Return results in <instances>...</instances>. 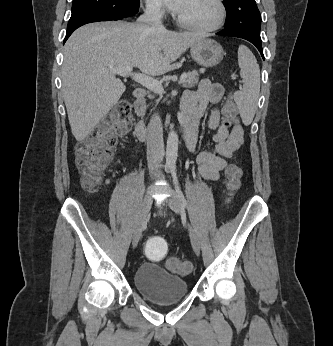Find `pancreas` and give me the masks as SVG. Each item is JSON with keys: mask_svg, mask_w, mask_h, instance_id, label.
<instances>
[{"mask_svg": "<svg viewBox=\"0 0 333 346\" xmlns=\"http://www.w3.org/2000/svg\"><path fill=\"white\" fill-rule=\"evenodd\" d=\"M186 75H187V79L183 83V87L185 88L195 87L199 81V73L197 71H191V72H188ZM158 101L159 100H157L156 102ZM144 108H146V106H144Z\"/></svg>", "mask_w": 333, "mask_h": 346, "instance_id": "pancreas-1", "label": "pancreas"}]
</instances>
